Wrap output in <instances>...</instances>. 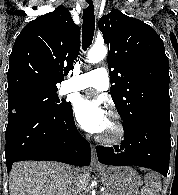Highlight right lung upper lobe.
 <instances>
[{
    "label": "right lung upper lobe",
    "instance_id": "1",
    "mask_svg": "<svg viewBox=\"0 0 178 195\" xmlns=\"http://www.w3.org/2000/svg\"><path fill=\"white\" fill-rule=\"evenodd\" d=\"M80 51V28L63 6L29 22L9 59L8 96L30 89L55 90L73 69Z\"/></svg>",
    "mask_w": 178,
    "mask_h": 195
}]
</instances>
